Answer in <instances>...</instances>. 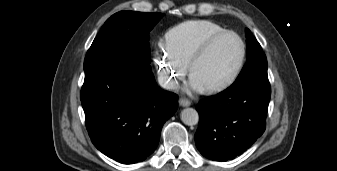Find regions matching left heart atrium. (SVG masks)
I'll use <instances>...</instances> for the list:
<instances>
[{
    "mask_svg": "<svg viewBox=\"0 0 337 171\" xmlns=\"http://www.w3.org/2000/svg\"><path fill=\"white\" fill-rule=\"evenodd\" d=\"M189 84H190L191 89L196 92H200L205 89V87L193 76H191Z\"/></svg>",
    "mask_w": 337,
    "mask_h": 171,
    "instance_id": "1",
    "label": "left heart atrium"
}]
</instances>
